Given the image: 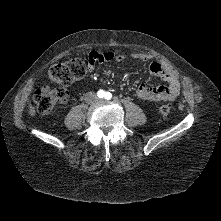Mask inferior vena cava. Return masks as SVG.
Instances as JSON below:
<instances>
[{"label":"inferior vena cava","instance_id":"obj_1","mask_svg":"<svg viewBox=\"0 0 221 221\" xmlns=\"http://www.w3.org/2000/svg\"><path fill=\"white\" fill-rule=\"evenodd\" d=\"M87 96H88V98L97 99L96 94L93 93V92H89V93L87 94Z\"/></svg>","mask_w":221,"mask_h":221}]
</instances>
